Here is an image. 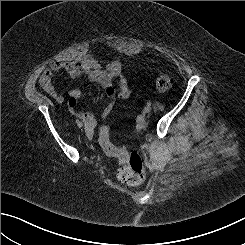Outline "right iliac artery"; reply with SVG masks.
Wrapping results in <instances>:
<instances>
[{
	"instance_id": "right-iliac-artery-1",
	"label": "right iliac artery",
	"mask_w": 245,
	"mask_h": 245,
	"mask_svg": "<svg viewBox=\"0 0 245 245\" xmlns=\"http://www.w3.org/2000/svg\"><path fill=\"white\" fill-rule=\"evenodd\" d=\"M76 123L78 126L81 124V122L78 119L76 120Z\"/></svg>"
}]
</instances>
